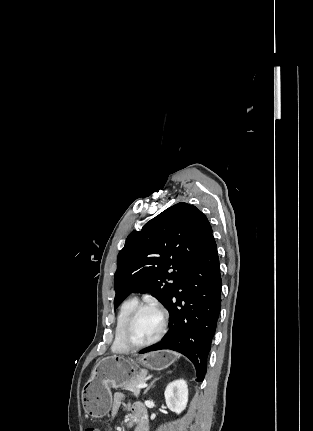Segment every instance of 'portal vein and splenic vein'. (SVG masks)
<instances>
[{"instance_id": "portal-vein-and-splenic-vein-1", "label": "portal vein and splenic vein", "mask_w": 313, "mask_h": 431, "mask_svg": "<svg viewBox=\"0 0 313 431\" xmlns=\"http://www.w3.org/2000/svg\"><path fill=\"white\" fill-rule=\"evenodd\" d=\"M137 388H145L147 386V384L145 382H141L137 385H135Z\"/></svg>"}]
</instances>
